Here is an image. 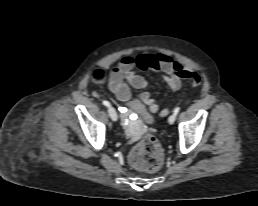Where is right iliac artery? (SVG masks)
Instances as JSON below:
<instances>
[{"label": "right iliac artery", "mask_w": 258, "mask_h": 206, "mask_svg": "<svg viewBox=\"0 0 258 206\" xmlns=\"http://www.w3.org/2000/svg\"><path fill=\"white\" fill-rule=\"evenodd\" d=\"M103 104H104L105 106H107V107L110 106V103H109L108 101H106V100L103 101Z\"/></svg>", "instance_id": "82829eb1"}]
</instances>
